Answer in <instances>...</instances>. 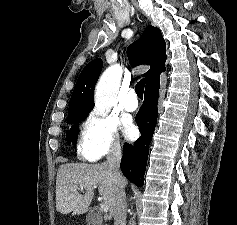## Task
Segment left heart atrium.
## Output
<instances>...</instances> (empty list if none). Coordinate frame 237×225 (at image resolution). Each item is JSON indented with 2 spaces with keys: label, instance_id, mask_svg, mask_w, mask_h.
Returning a JSON list of instances; mask_svg holds the SVG:
<instances>
[{
  "label": "left heart atrium",
  "instance_id": "obj_1",
  "mask_svg": "<svg viewBox=\"0 0 237 225\" xmlns=\"http://www.w3.org/2000/svg\"><path fill=\"white\" fill-rule=\"evenodd\" d=\"M123 131L128 139L134 138L137 133L136 127L131 122L124 123Z\"/></svg>",
  "mask_w": 237,
  "mask_h": 225
}]
</instances>
